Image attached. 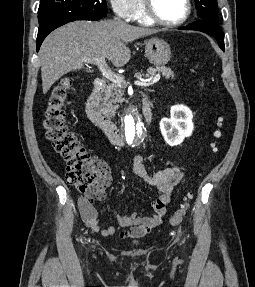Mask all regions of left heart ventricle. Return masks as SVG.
Instances as JSON below:
<instances>
[{"label": "left heart ventricle", "mask_w": 255, "mask_h": 287, "mask_svg": "<svg viewBox=\"0 0 255 287\" xmlns=\"http://www.w3.org/2000/svg\"><path fill=\"white\" fill-rule=\"evenodd\" d=\"M114 39H131V38H114ZM112 48H132V47H112ZM152 48H159V47H152Z\"/></svg>", "instance_id": "obj_1"}]
</instances>
